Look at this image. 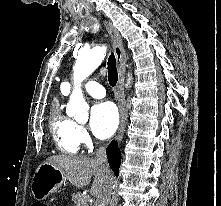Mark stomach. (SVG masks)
Wrapping results in <instances>:
<instances>
[{"label":"stomach","mask_w":221,"mask_h":206,"mask_svg":"<svg viewBox=\"0 0 221 206\" xmlns=\"http://www.w3.org/2000/svg\"><path fill=\"white\" fill-rule=\"evenodd\" d=\"M65 175L55 166L44 162L36 170L31 192L36 200H44L48 195L57 191L65 183Z\"/></svg>","instance_id":"obj_1"}]
</instances>
